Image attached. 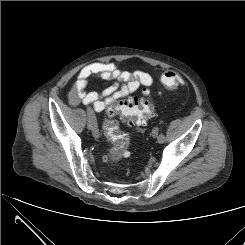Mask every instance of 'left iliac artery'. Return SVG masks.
Listing matches in <instances>:
<instances>
[{
  "mask_svg": "<svg viewBox=\"0 0 245 245\" xmlns=\"http://www.w3.org/2000/svg\"><path fill=\"white\" fill-rule=\"evenodd\" d=\"M164 140H165V136H164L163 133H161V134L159 135V137H158V141H159V143H163Z\"/></svg>",
  "mask_w": 245,
  "mask_h": 245,
  "instance_id": "1",
  "label": "left iliac artery"
}]
</instances>
